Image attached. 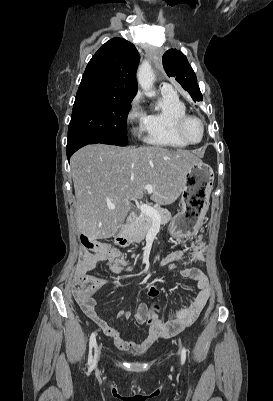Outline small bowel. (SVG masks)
<instances>
[{"instance_id":"c3829d8e","label":"small bowel","mask_w":273,"mask_h":401,"mask_svg":"<svg viewBox=\"0 0 273 401\" xmlns=\"http://www.w3.org/2000/svg\"><path fill=\"white\" fill-rule=\"evenodd\" d=\"M84 245L92 246L94 259L86 261H94L95 267L97 264L104 263L109 270L115 274H119L130 268L129 261L125 254L112 244L85 241L83 242V246ZM205 248L204 236L198 235L190 248L186 250L176 249L163 257L160 262L169 269H179L183 278L197 283L194 298L188 305L169 310L164 317H157L152 324H148L146 321L149 310L145 303H140L134 311L125 310L119 312L118 317L120 319L132 320L137 324L146 323L149 325L147 337L140 343L130 342L122 338L120 330L103 320L97 311L96 302L92 303V293L95 292L96 287H104L106 284L104 278L92 275V278H95L94 284H87L85 290H74L73 297L84 314L96 324L105 335L113 339L118 349L125 352H143L156 339L157 342H160L158 338L171 337L183 330L186 326L194 323L207 306L212 292L210 280L201 269L187 265V263L202 260L204 258Z\"/></svg>"}]
</instances>
